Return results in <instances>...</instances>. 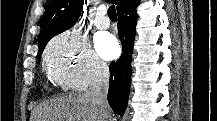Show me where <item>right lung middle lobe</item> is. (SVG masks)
<instances>
[{
  "label": "right lung middle lobe",
  "instance_id": "dd1d6c3e",
  "mask_svg": "<svg viewBox=\"0 0 217 121\" xmlns=\"http://www.w3.org/2000/svg\"><path fill=\"white\" fill-rule=\"evenodd\" d=\"M42 52H43V49L38 51V54H37L38 59H40Z\"/></svg>",
  "mask_w": 217,
  "mask_h": 121
}]
</instances>
